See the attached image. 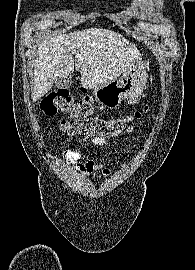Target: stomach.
Listing matches in <instances>:
<instances>
[{"instance_id":"obj_1","label":"stomach","mask_w":195,"mask_h":270,"mask_svg":"<svg viewBox=\"0 0 195 270\" xmlns=\"http://www.w3.org/2000/svg\"><path fill=\"white\" fill-rule=\"evenodd\" d=\"M146 64L137 62L120 79H115L93 90L95 99L110 109L117 108L123 100L138 98L146 87Z\"/></svg>"}]
</instances>
